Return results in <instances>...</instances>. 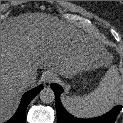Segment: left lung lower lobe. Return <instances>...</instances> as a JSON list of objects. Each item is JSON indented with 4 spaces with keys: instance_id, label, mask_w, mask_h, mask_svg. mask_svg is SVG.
I'll use <instances>...</instances> for the list:
<instances>
[{
    "instance_id": "1",
    "label": "left lung lower lobe",
    "mask_w": 123,
    "mask_h": 123,
    "mask_svg": "<svg viewBox=\"0 0 123 123\" xmlns=\"http://www.w3.org/2000/svg\"><path fill=\"white\" fill-rule=\"evenodd\" d=\"M51 88L55 93L57 122L58 123H114L122 106L114 107L109 113L94 119H78L70 115L62 106L60 102V95L63 89L58 84H51Z\"/></svg>"
}]
</instances>
